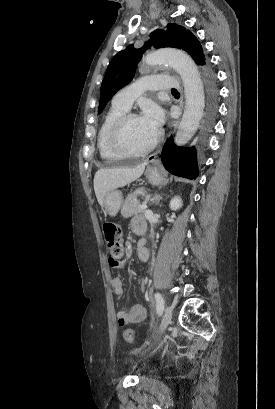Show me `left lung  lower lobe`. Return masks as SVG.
<instances>
[{
  "instance_id": "0a47b994",
  "label": "left lung lower lobe",
  "mask_w": 275,
  "mask_h": 409,
  "mask_svg": "<svg viewBox=\"0 0 275 409\" xmlns=\"http://www.w3.org/2000/svg\"><path fill=\"white\" fill-rule=\"evenodd\" d=\"M205 76L207 83V115L205 121V130L209 132L214 124V120L218 109V89L216 86L215 74L209 65H206ZM161 161L163 166L170 173L185 177L188 179H195L198 177V167L196 159V151L193 147L182 148L177 147L170 137L165 143L162 153Z\"/></svg>"
}]
</instances>
